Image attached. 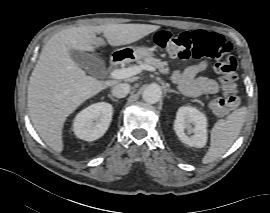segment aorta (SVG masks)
Segmentation results:
<instances>
[{"instance_id": "1", "label": "aorta", "mask_w": 270, "mask_h": 213, "mask_svg": "<svg viewBox=\"0 0 270 213\" xmlns=\"http://www.w3.org/2000/svg\"><path fill=\"white\" fill-rule=\"evenodd\" d=\"M162 96L161 87L158 84H149L142 93V98L147 103L155 104Z\"/></svg>"}]
</instances>
